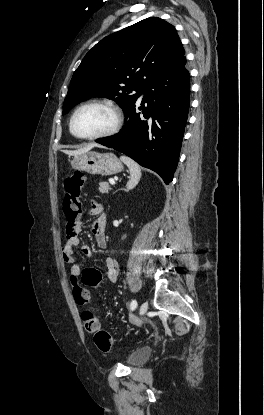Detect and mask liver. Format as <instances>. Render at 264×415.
<instances>
[{
    "label": "liver",
    "instance_id": "obj_1",
    "mask_svg": "<svg viewBox=\"0 0 264 415\" xmlns=\"http://www.w3.org/2000/svg\"><path fill=\"white\" fill-rule=\"evenodd\" d=\"M96 146H98V145H96V144H90V145H88L86 147H83V148H80V149H77V150H74V151H66V153H68L69 155L76 156L78 154H82V153L89 152L92 148H94ZM98 147H100V146H98Z\"/></svg>",
    "mask_w": 264,
    "mask_h": 415
}]
</instances>
